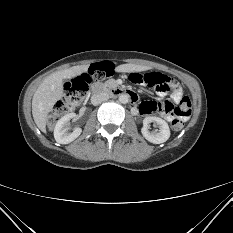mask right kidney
Masks as SVG:
<instances>
[{
    "label": "right kidney",
    "instance_id": "obj_1",
    "mask_svg": "<svg viewBox=\"0 0 233 233\" xmlns=\"http://www.w3.org/2000/svg\"><path fill=\"white\" fill-rule=\"evenodd\" d=\"M75 113H69L58 120L54 128V138L60 144H69L74 141L82 132L80 127L74 129L72 133L70 130V120L75 118Z\"/></svg>",
    "mask_w": 233,
    "mask_h": 233
}]
</instances>
